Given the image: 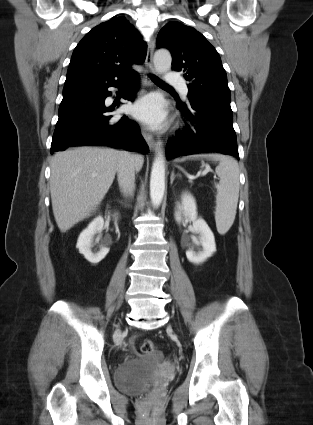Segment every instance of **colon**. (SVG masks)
I'll return each instance as SVG.
<instances>
[{
  "label": "colon",
  "mask_w": 313,
  "mask_h": 425,
  "mask_svg": "<svg viewBox=\"0 0 313 425\" xmlns=\"http://www.w3.org/2000/svg\"><path fill=\"white\" fill-rule=\"evenodd\" d=\"M139 350L143 354L153 353L156 350V345L150 340H144L140 343Z\"/></svg>",
  "instance_id": "5ec220e1"
}]
</instances>
